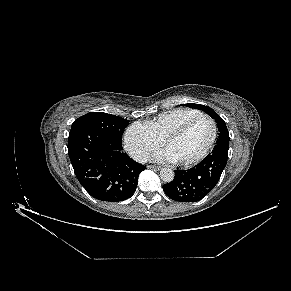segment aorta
<instances>
[{
	"label": "aorta",
	"mask_w": 291,
	"mask_h": 291,
	"mask_svg": "<svg viewBox=\"0 0 291 291\" xmlns=\"http://www.w3.org/2000/svg\"><path fill=\"white\" fill-rule=\"evenodd\" d=\"M160 178H161V180H163L166 183H169V182L173 181V179H174L173 170L170 169V168H163L160 171Z\"/></svg>",
	"instance_id": "aorta-1"
}]
</instances>
